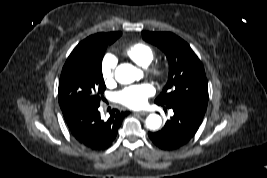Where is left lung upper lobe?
Instances as JSON below:
<instances>
[{
	"instance_id": "5c2ea615",
	"label": "left lung upper lobe",
	"mask_w": 267,
	"mask_h": 178,
	"mask_svg": "<svg viewBox=\"0 0 267 178\" xmlns=\"http://www.w3.org/2000/svg\"><path fill=\"white\" fill-rule=\"evenodd\" d=\"M145 41L159 47L169 62L168 82L155 103L181 106L204 117L208 83L203 65L191 47L170 32H142Z\"/></svg>"
}]
</instances>
